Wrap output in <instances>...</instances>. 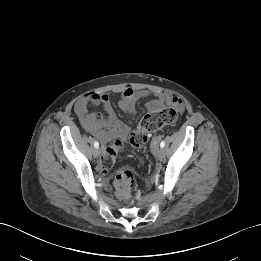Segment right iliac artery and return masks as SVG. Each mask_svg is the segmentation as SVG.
<instances>
[{"label":"right iliac artery","instance_id":"obj_1","mask_svg":"<svg viewBox=\"0 0 261 261\" xmlns=\"http://www.w3.org/2000/svg\"><path fill=\"white\" fill-rule=\"evenodd\" d=\"M94 147L99 148V143L97 141L94 142Z\"/></svg>","mask_w":261,"mask_h":261}]
</instances>
